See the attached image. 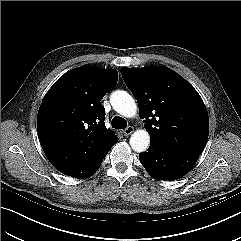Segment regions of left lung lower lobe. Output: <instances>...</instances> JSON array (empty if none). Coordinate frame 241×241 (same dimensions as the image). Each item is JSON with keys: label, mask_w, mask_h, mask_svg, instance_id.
Wrapping results in <instances>:
<instances>
[{"label": "left lung lower lobe", "mask_w": 241, "mask_h": 241, "mask_svg": "<svg viewBox=\"0 0 241 241\" xmlns=\"http://www.w3.org/2000/svg\"><path fill=\"white\" fill-rule=\"evenodd\" d=\"M197 159L198 156L174 152L155 143L139 154L141 164L158 180L179 179L192 169Z\"/></svg>", "instance_id": "left-lung-lower-lobe-1"}]
</instances>
